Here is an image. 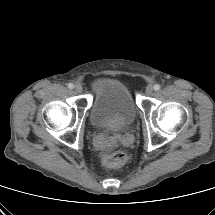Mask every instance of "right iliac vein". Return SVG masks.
Listing matches in <instances>:
<instances>
[{
  "label": "right iliac vein",
  "mask_w": 215,
  "mask_h": 215,
  "mask_svg": "<svg viewBox=\"0 0 215 215\" xmlns=\"http://www.w3.org/2000/svg\"><path fill=\"white\" fill-rule=\"evenodd\" d=\"M74 90H75L77 93H81L83 89H82V86H81V85L77 84V85H75Z\"/></svg>",
  "instance_id": "right-iliac-vein-1"
}]
</instances>
